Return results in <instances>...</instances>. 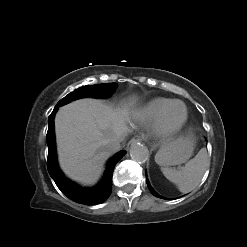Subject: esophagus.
<instances>
[{"mask_svg": "<svg viewBox=\"0 0 247 247\" xmlns=\"http://www.w3.org/2000/svg\"><path fill=\"white\" fill-rule=\"evenodd\" d=\"M143 140H144V138L141 137V136H136V137L132 138V139L129 141L128 145H127V149H129V148H131L132 146H134V145H136V144L142 142Z\"/></svg>", "mask_w": 247, "mask_h": 247, "instance_id": "esophagus-1", "label": "esophagus"}]
</instances>
